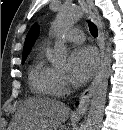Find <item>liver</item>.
Returning <instances> with one entry per match:
<instances>
[{
  "instance_id": "6515ba94",
  "label": "liver",
  "mask_w": 123,
  "mask_h": 130,
  "mask_svg": "<svg viewBox=\"0 0 123 130\" xmlns=\"http://www.w3.org/2000/svg\"><path fill=\"white\" fill-rule=\"evenodd\" d=\"M70 109L49 98H28L18 108L9 130H58L66 122Z\"/></svg>"
}]
</instances>
